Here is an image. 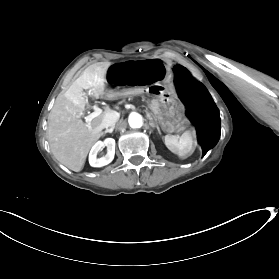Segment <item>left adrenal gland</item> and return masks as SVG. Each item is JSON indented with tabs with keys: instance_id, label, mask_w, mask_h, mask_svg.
Wrapping results in <instances>:
<instances>
[{
	"instance_id": "1",
	"label": "left adrenal gland",
	"mask_w": 279,
	"mask_h": 279,
	"mask_svg": "<svg viewBox=\"0 0 279 279\" xmlns=\"http://www.w3.org/2000/svg\"><path fill=\"white\" fill-rule=\"evenodd\" d=\"M148 118H149V120H151V121L153 122V126L157 128V130H158L159 134H161V132H160V128H159V126H158L156 123L154 124V121H153L152 116H150V117H148Z\"/></svg>"
}]
</instances>
